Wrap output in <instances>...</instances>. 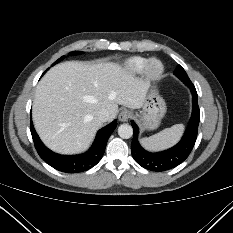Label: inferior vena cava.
<instances>
[{
	"label": "inferior vena cava",
	"instance_id": "inferior-vena-cava-1",
	"mask_svg": "<svg viewBox=\"0 0 233 233\" xmlns=\"http://www.w3.org/2000/svg\"><path fill=\"white\" fill-rule=\"evenodd\" d=\"M97 119L102 123L108 121L109 112L106 109L99 110L97 113Z\"/></svg>",
	"mask_w": 233,
	"mask_h": 233
}]
</instances>
